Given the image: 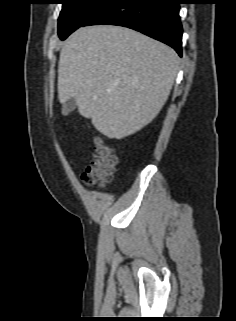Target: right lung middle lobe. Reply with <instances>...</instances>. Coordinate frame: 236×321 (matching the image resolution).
<instances>
[{"label": "right lung middle lobe", "instance_id": "obj_1", "mask_svg": "<svg viewBox=\"0 0 236 321\" xmlns=\"http://www.w3.org/2000/svg\"><path fill=\"white\" fill-rule=\"evenodd\" d=\"M109 0H61L63 4L58 19V35L67 38L79 28L93 13Z\"/></svg>", "mask_w": 236, "mask_h": 321}]
</instances>
